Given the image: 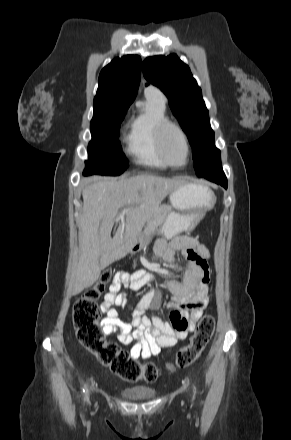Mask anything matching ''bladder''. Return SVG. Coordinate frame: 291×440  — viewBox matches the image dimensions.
I'll list each match as a JSON object with an SVG mask.
<instances>
[{
	"label": "bladder",
	"mask_w": 291,
	"mask_h": 440,
	"mask_svg": "<svg viewBox=\"0 0 291 440\" xmlns=\"http://www.w3.org/2000/svg\"><path fill=\"white\" fill-rule=\"evenodd\" d=\"M121 395L129 401L148 400L156 395L150 387H128L121 390Z\"/></svg>",
	"instance_id": "bladder-1"
}]
</instances>
